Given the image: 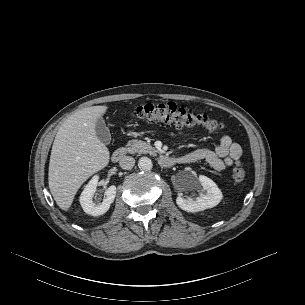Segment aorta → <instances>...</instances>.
Here are the masks:
<instances>
[{
    "mask_svg": "<svg viewBox=\"0 0 305 305\" xmlns=\"http://www.w3.org/2000/svg\"><path fill=\"white\" fill-rule=\"evenodd\" d=\"M138 166L141 170L149 171L152 169V161L148 157H141L138 161Z\"/></svg>",
    "mask_w": 305,
    "mask_h": 305,
    "instance_id": "762f6f07",
    "label": "aorta"
}]
</instances>
